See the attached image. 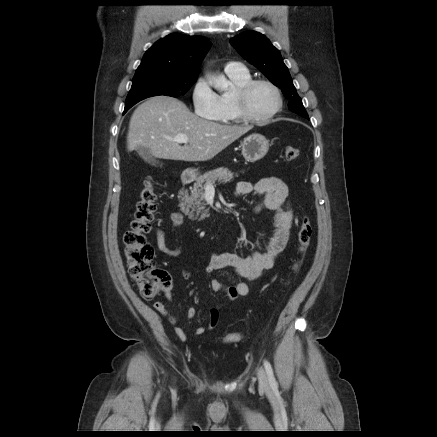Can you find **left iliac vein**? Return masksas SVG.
Segmentation results:
<instances>
[{"mask_svg":"<svg viewBox=\"0 0 437 437\" xmlns=\"http://www.w3.org/2000/svg\"><path fill=\"white\" fill-rule=\"evenodd\" d=\"M257 376H258V381H259V387L262 390H264L266 392H269L270 391V385H269V381H268V378H267L265 370L263 368H260L258 370Z\"/></svg>","mask_w":437,"mask_h":437,"instance_id":"obj_1","label":"left iliac vein"}]
</instances>
